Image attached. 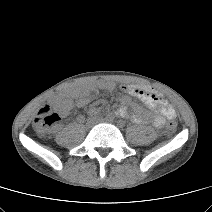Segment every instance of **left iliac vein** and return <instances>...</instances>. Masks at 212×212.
I'll use <instances>...</instances> for the list:
<instances>
[{"mask_svg":"<svg viewBox=\"0 0 212 212\" xmlns=\"http://www.w3.org/2000/svg\"><path fill=\"white\" fill-rule=\"evenodd\" d=\"M102 121L107 122V123H112V120H110V119H103Z\"/></svg>","mask_w":212,"mask_h":212,"instance_id":"4c4485c4","label":"left iliac vein"}]
</instances>
